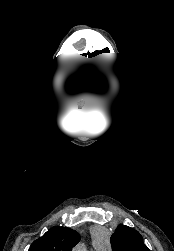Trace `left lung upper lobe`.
Wrapping results in <instances>:
<instances>
[{"label":"left lung upper lobe","mask_w":174,"mask_h":251,"mask_svg":"<svg viewBox=\"0 0 174 251\" xmlns=\"http://www.w3.org/2000/svg\"><path fill=\"white\" fill-rule=\"evenodd\" d=\"M111 245L113 251H150L138 231L122 224L112 234Z\"/></svg>","instance_id":"5c2ea615"}]
</instances>
